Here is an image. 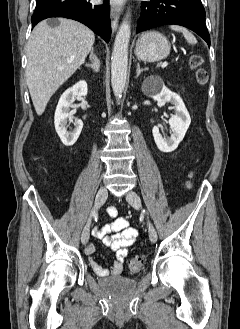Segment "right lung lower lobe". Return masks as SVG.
Here are the masks:
<instances>
[{"mask_svg": "<svg viewBox=\"0 0 240 329\" xmlns=\"http://www.w3.org/2000/svg\"><path fill=\"white\" fill-rule=\"evenodd\" d=\"M50 17H65L79 21L93 32L109 42L111 23L109 5H92L88 0H36L35 12L32 15V28L41 20Z\"/></svg>", "mask_w": 240, "mask_h": 329, "instance_id": "obj_1", "label": "right lung lower lobe"}]
</instances>
